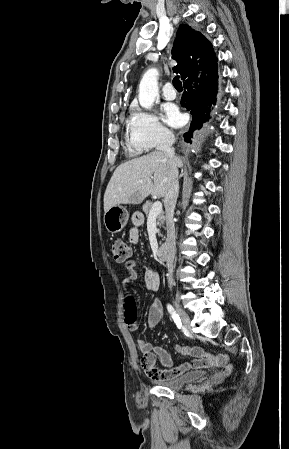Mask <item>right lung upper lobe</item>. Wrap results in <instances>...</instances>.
<instances>
[{
    "label": "right lung upper lobe",
    "mask_w": 289,
    "mask_h": 449,
    "mask_svg": "<svg viewBox=\"0 0 289 449\" xmlns=\"http://www.w3.org/2000/svg\"><path fill=\"white\" fill-rule=\"evenodd\" d=\"M172 55L178 62L173 71L181 74L184 83L205 76L217 64L210 41L199 31L184 24L178 29Z\"/></svg>",
    "instance_id": "1"
}]
</instances>
